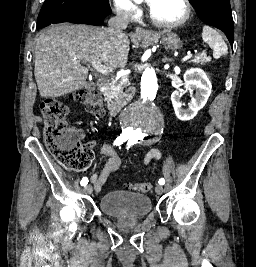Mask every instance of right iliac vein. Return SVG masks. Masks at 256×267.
I'll return each instance as SVG.
<instances>
[{
    "label": "right iliac vein",
    "instance_id": "right-iliac-vein-1",
    "mask_svg": "<svg viewBox=\"0 0 256 267\" xmlns=\"http://www.w3.org/2000/svg\"><path fill=\"white\" fill-rule=\"evenodd\" d=\"M93 191V187L89 184L87 186H85L84 188V192L87 193V194H91Z\"/></svg>",
    "mask_w": 256,
    "mask_h": 267
}]
</instances>
